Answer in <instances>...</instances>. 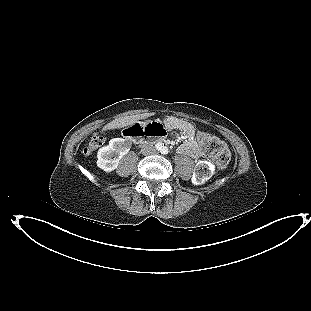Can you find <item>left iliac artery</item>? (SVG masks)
Returning a JSON list of instances; mask_svg holds the SVG:
<instances>
[{"mask_svg": "<svg viewBox=\"0 0 311 311\" xmlns=\"http://www.w3.org/2000/svg\"><path fill=\"white\" fill-rule=\"evenodd\" d=\"M168 152H169V150H168L167 147H163L162 150H161V153L165 154V155L168 154Z\"/></svg>", "mask_w": 311, "mask_h": 311, "instance_id": "obj_1", "label": "left iliac artery"}]
</instances>
